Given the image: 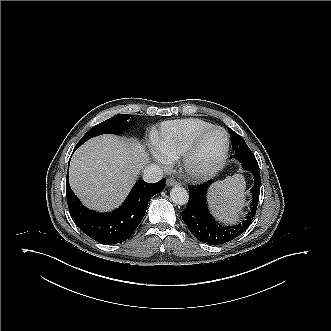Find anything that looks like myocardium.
<instances>
[{"instance_id": "myocardium-1", "label": "myocardium", "mask_w": 331, "mask_h": 331, "mask_svg": "<svg viewBox=\"0 0 331 331\" xmlns=\"http://www.w3.org/2000/svg\"><path fill=\"white\" fill-rule=\"evenodd\" d=\"M221 132L225 138V145L224 148L219 156V158L214 161L213 163L202 166L196 167L193 164L195 159L196 153L198 152L203 140L213 132ZM230 146V138L226 130L221 127L213 126L193 138V140L188 144L186 149L183 151L182 155L180 156L179 166L181 171L191 179H206L213 174H215L220 168L224 165L227 155L229 152Z\"/></svg>"}]
</instances>
